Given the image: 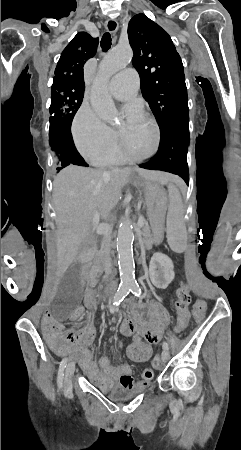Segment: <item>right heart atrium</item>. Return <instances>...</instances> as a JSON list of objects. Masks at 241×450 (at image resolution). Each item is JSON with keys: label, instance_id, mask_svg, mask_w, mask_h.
Wrapping results in <instances>:
<instances>
[{"label": "right heart atrium", "instance_id": "1", "mask_svg": "<svg viewBox=\"0 0 241 450\" xmlns=\"http://www.w3.org/2000/svg\"><path fill=\"white\" fill-rule=\"evenodd\" d=\"M73 142L78 153L87 160H98L110 154L115 141L113 132L88 104H82L72 121Z\"/></svg>", "mask_w": 241, "mask_h": 450}]
</instances>
